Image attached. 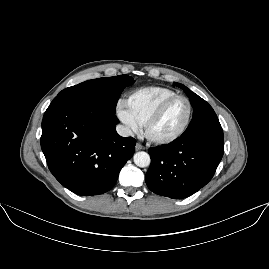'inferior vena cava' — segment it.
I'll return each mask as SVG.
<instances>
[{"label": "inferior vena cava", "mask_w": 269, "mask_h": 269, "mask_svg": "<svg viewBox=\"0 0 269 269\" xmlns=\"http://www.w3.org/2000/svg\"><path fill=\"white\" fill-rule=\"evenodd\" d=\"M117 133L122 137H129L132 136V131L130 128L123 126V125H117L116 127Z\"/></svg>", "instance_id": "602c4592"}]
</instances>
